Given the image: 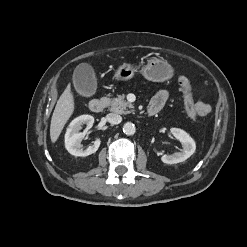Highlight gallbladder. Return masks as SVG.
<instances>
[{
	"label": "gallbladder",
	"instance_id": "obj_1",
	"mask_svg": "<svg viewBox=\"0 0 247 247\" xmlns=\"http://www.w3.org/2000/svg\"><path fill=\"white\" fill-rule=\"evenodd\" d=\"M73 83L80 95L84 97L94 95L97 90V81L92 66L87 63L79 64L73 73Z\"/></svg>",
	"mask_w": 247,
	"mask_h": 247
}]
</instances>
